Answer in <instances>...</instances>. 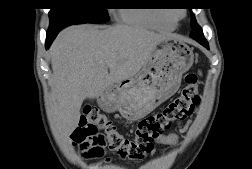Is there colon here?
<instances>
[{
  "label": "colon",
  "instance_id": "obj_1",
  "mask_svg": "<svg viewBox=\"0 0 252 169\" xmlns=\"http://www.w3.org/2000/svg\"><path fill=\"white\" fill-rule=\"evenodd\" d=\"M179 95L160 111L141 119L133 134L127 136L102 112L86 105L78 127L72 133V141L87 159H102L105 150L115 152L120 158L141 160L153 148V141L172 124L192 114L199 104L197 75L188 73Z\"/></svg>",
  "mask_w": 252,
  "mask_h": 169
}]
</instances>
